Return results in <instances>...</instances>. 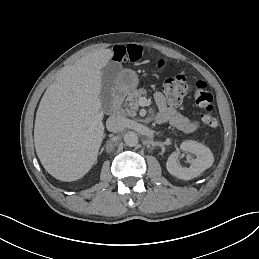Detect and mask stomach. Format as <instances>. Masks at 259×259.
<instances>
[{
    "label": "stomach",
    "instance_id": "obj_1",
    "mask_svg": "<svg viewBox=\"0 0 259 259\" xmlns=\"http://www.w3.org/2000/svg\"><path fill=\"white\" fill-rule=\"evenodd\" d=\"M138 82V77L132 70L121 71L115 80L116 88L126 93L133 91L137 87Z\"/></svg>",
    "mask_w": 259,
    "mask_h": 259
}]
</instances>
